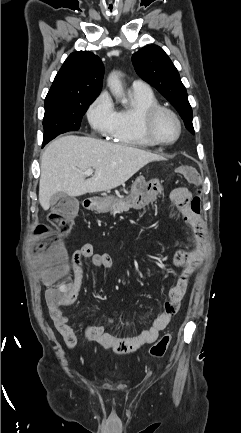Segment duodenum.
Listing matches in <instances>:
<instances>
[{"instance_id": "duodenum-1", "label": "duodenum", "mask_w": 241, "mask_h": 433, "mask_svg": "<svg viewBox=\"0 0 241 433\" xmlns=\"http://www.w3.org/2000/svg\"><path fill=\"white\" fill-rule=\"evenodd\" d=\"M98 201L95 199L87 198L84 200V205L88 210H93L97 207Z\"/></svg>"}]
</instances>
